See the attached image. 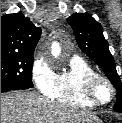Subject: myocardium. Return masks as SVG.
<instances>
[{
    "mask_svg": "<svg viewBox=\"0 0 122 123\" xmlns=\"http://www.w3.org/2000/svg\"><path fill=\"white\" fill-rule=\"evenodd\" d=\"M100 83H104L110 90V97L107 100H101L96 94V88ZM82 96L96 106L105 105L109 103L115 96V88L111 81L101 74H92L87 76L81 87Z\"/></svg>",
    "mask_w": 122,
    "mask_h": 123,
    "instance_id": "f54148a6",
    "label": "myocardium"
}]
</instances>
